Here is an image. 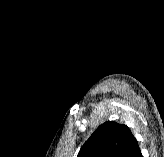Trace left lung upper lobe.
Returning a JSON list of instances; mask_svg holds the SVG:
<instances>
[{
    "label": "left lung upper lobe",
    "instance_id": "left-lung-upper-lobe-1",
    "mask_svg": "<svg viewBox=\"0 0 164 157\" xmlns=\"http://www.w3.org/2000/svg\"><path fill=\"white\" fill-rule=\"evenodd\" d=\"M135 141L126 125L107 121L84 143L77 157H127Z\"/></svg>",
    "mask_w": 164,
    "mask_h": 157
}]
</instances>
